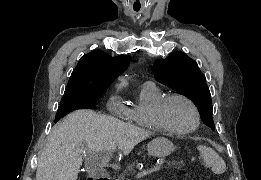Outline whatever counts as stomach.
<instances>
[{"mask_svg": "<svg viewBox=\"0 0 261 180\" xmlns=\"http://www.w3.org/2000/svg\"><path fill=\"white\" fill-rule=\"evenodd\" d=\"M174 149L173 143L165 137L155 138L147 145L149 155L160 158L170 155Z\"/></svg>", "mask_w": 261, "mask_h": 180, "instance_id": "0dacf381", "label": "stomach"}]
</instances>
